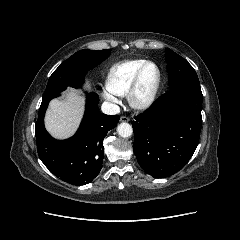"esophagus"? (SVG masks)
<instances>
[{"mask_svg": "<svg viewBox=\"0 0 240 240\" xmlns=\"http://www.w3.org/2000/svg\"><path fill=\"white\" fill-rule=\"evenodd\" d=\"M120 121H121V122H129V121H130V118L127 117V116H121Z\"/></svg>", "mask_w": 240, "mask_h": 240, "instance_id": "esophagus-1", "label": "esophagus"}]
</instances>
